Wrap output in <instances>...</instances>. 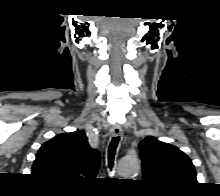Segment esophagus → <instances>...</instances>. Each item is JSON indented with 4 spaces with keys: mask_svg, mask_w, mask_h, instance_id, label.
<instances>
[{
    "mask_svg": "<svg viewBox=\"0 0 220 196\" xmlns=\"http://www.w3.org/2000/svg\"><path fill=\"white\" fill-rule=\"evenodd\" d=\"M111 134L112 136H121L123 134L122 129L120 126H113L111 128Z\"/></svg>",
    "mask_w": 220,
    "mask_h": 196,
    "instance_id": "34e87169",
    "label": "esophagus"
}]
</instances>
